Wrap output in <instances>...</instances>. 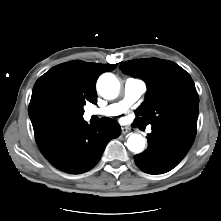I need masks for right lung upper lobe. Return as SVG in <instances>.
Instances as JSON below:
<instances>
[{
	"label": "right lung upper lobe",
	"instance_id": "1",
	"mask_svg": "<svg viewBox=\"0 0 221 221\" xmlns=\"http://www.w3.org/2000/svg\"><path fill=\"white\" fill-rule=\"evenodd\" d=\"M116 66L75 60L59 64L42 75L33 87L28 107L34 133L67 119L81 103H96L98 77Z\"/></svg>",
	"mask_w": 221,
	"mask_h": 221
}]
</instances>
